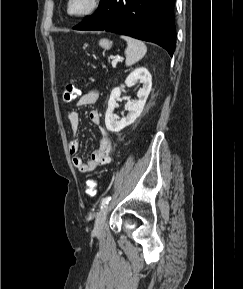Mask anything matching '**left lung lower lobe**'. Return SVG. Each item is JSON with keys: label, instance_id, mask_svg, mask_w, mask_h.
<instances>
[{"label": "left lung lower lobe", "instance_id": "1", "mask_svg": "<svg viewBox=\"0 0 243 289\" xmlns=\"http://www.w3.org/2000/svg\"><path fill=\"white\" fill-rule=\"evenodd\" d=\"M175 0H101L98 10L73 27L106 30L153 42L173 55L176 45Z\"/></svg>", "mask_w": 243, "mask_h": 289}]
</instances>
